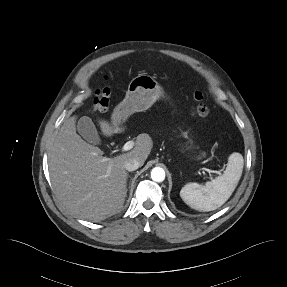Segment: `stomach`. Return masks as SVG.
Instances as JSON below:
<instances>
[{"mask_svg":"<svg viewBox=\"0 0 287 287\" xmlns=\"http://www.w3.org/2000/svg\"><path fill=\"white\" fill-rule=\"evenodd\" d=\"M162 96L164 91L152 76H136L130 81L124 100L115 107L112 124L119 126L131 114L147 110Z\"/></svg>","mask_w":287,"mask_h":287,"instance_id":"obj_1","label":"stomach"}]
</instances>
